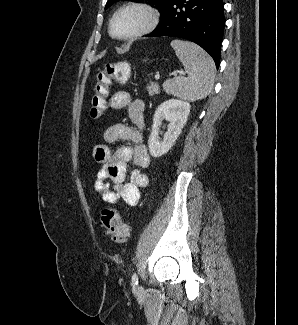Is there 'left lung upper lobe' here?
<instances>
[{
	"instance_id": "left-lung-upper-lobe-1",
	"label": "left lung upper lobe",
	"mask_w": 298,
	"mask_h": 325,
	"mask_svg": "<svg viewBox=\"0 0 298 325\" xmlns=\"http://www.w3.org/2000/svg\"><path fill=\"white\" fill-rule=\"evenodd\" d=\"M116 1L118 0H108L105 8L110 7ZM130 1H138V0H130ZM148 1L152 2L153 4L158 6L161 9V11H163L166 8V6L170 3L171 0H148Z\"/></svg>"
}]
</instances>
